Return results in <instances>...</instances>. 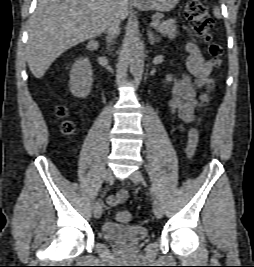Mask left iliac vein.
I'll return each instance as SVG.
<instances>
[{"instance_id": "4c4485c4", "label": "left iliac vein", "mask_w": 254, "mask_h": 267, "mask_svg": "<svg viewBox=\"0 0 254 267\" xmlns=\"http://www.w3.org/2000/svg\"><path fill=\"white\" fill-rule=\"evenodd\" d=\"M130 178L134 183L137 184L144 183V177L140 171H134L130 175ZM153 212L158 219L162 218L163 210L160 201L157 198H154L153 200Z\"/></svg>"}]
</instances>
